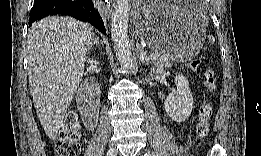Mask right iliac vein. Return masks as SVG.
<instances>
[{
  "mask_svg": "<svg viewBox=\"0 0 261 156\" xmlns=\"http://www.w3.org/2000/svg\"><path fill=\"white\" fill-rule=\"evenodd\" d=\"M117 155V151L115 148H109L107 151V156H116Z\"/></svg>",
  "mask_w": 261,
  "mask_h": 156,
  "instance_id": "63e3f726",
  "label": "right iliac vein"
}]
</instances>
